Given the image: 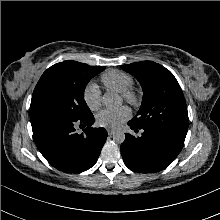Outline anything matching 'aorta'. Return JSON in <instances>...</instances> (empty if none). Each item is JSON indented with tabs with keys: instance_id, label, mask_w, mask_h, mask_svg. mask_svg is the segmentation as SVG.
<instances>
[{
	"instance_id": "aorta-1",
	"label": "aorta",
	"mask_w": 220,
	"mask_h": 220,
	"mask_svg": "<svg viewBox=\"0 0 220 220\" xmlns=\"http://www.w3.org/2000/svg\"><path fill=\"white\" fill-rule=\"evenodd\" d=\"M118 98L114 95H111V94H104L103 97H102V103L104 106L108 107V108H111V107H114L118 104ZM113 140L116 142V143H123L124 140H125V134L124 132L122 131H117L113 134Z\"/></svg>"
}]
</instances>
